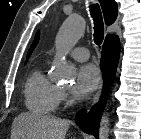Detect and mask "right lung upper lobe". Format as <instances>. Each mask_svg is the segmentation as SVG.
I'll use <instances>...</instances> for the list:
<instances>
[{"instance_id":"1","label":"right lung upper lobe","mask_w":141,"mask_h":139,"mask_svg":"<svg viewBox=\"0 0 141 139\" xmlns=\"http://www.w3.org/2000/svg\"><path fill=\"white\" fill-rule=\"evenodd\" d=\"M99 2L103 10L106 24L111 25L112 23L115 22L117 18V10H118L117 3L115 2V0H99ZM38 40H39V32H37L34 42L32 43L28 51L27 58H29V56L31 55L33 49L37 45Z\"/></svg>"}]
</instances>
